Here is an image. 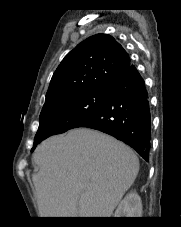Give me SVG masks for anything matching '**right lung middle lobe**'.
I'll return each instance as SVG.
<instances>
[{"label":"right lung middle lobe","instance_id":"1","mask_svg":"<svg viewBox=\"0 0 181 227\" xmlns=\"http://www.w3.org/2000/svg\"><path fill=\"white\" fill-rule=\"evenodd\" d=\"M108 95L109 88H105L63 98L43 108L32 151L49 136L80 127L104 106Z\"/></svg>","mask_w":181,"mask_h":227}]
</instances>
